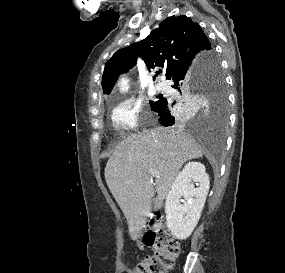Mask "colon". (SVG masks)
I'll use <instances>...</instances> for the list:
<instances>
[{"instance_id": "obj_1", "label": "colon", "mask_w": 285, "mask_h": 273, "mask_svg": "<svg viewBox=\"0 0 285 273\" xmlns=\"http://www.w3.org/2000/svg\"><path fill=\"white\" fill-rule=\"evenodd\" d=\"M139 245L152 248L153 253L138 264L135 273H167L180 253L178 240L169 233L161 218H151Z\"/></svg>"}]
</instances>
